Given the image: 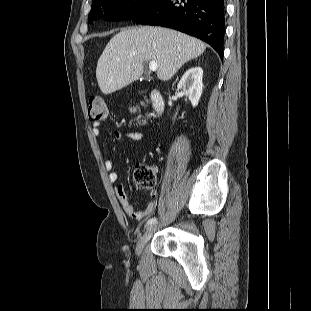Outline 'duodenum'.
Returning a JSON list of instances; mask_svg holds the SVG:
<instances>
[{"instance_id":"obj_1","label":"duodenum","mask_w":311,"mask_h":311,"mask_svg":"<svg viewBox=\"0 0 311 311\" xmlns=\"http://www.w3.org/2000/svg\"><path fill=\"white\" fill-rule=\"evenodd\" d=\"M153 109L157 115H161L164 110V101L158 89H152L149 93Z\"/></svg>"}]
</instances>
